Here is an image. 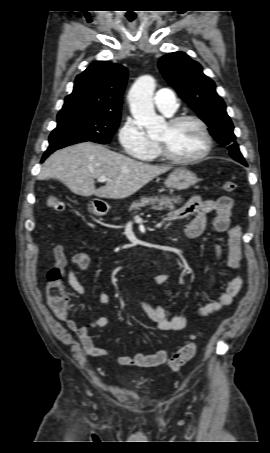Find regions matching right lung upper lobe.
<instances>
[{
	"label": "right lung upper lobe",
	"mask_w": 270,
	"mask_h": 453,
	"mask_svg": "<svg viewBox=\"0 0 270 453\" xmlns=\"http://www.w3.org/2000/svg\"><path fill=\"white\" fill-rule=\"evenodd\" d=\"M127 77V69L122 65L91 63L76 77L73 92L65 98L57 117L81 112L120 116Z\"/></svg>",
	"instance_id": "right-lung-upper-lobe-1"
}]
</instances>
